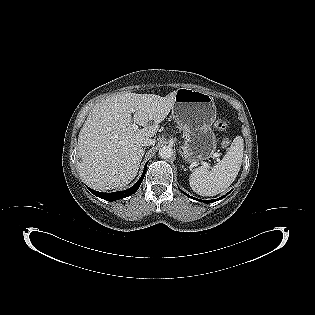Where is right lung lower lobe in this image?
<instances>
[{
	"label": "right lung lower lobe",
	"instance_id": "98d812e1",
	"mask_svg": "<svg viewBox=\"0 0 315 315\" xmlns=\"http://www.w3.org/2000/svg\"><path fill=\"white\" fill-rule=\"evenodd\" d=\"M146 166L147 164L145 165L144 167V172L142 174V176L140 177V179L129 189L127 190H124V191H119V192H113V193H102V192H98V191H95L91 188H88L94 195L106 200V201H115V200H118V199H122V198H125V197H128L130 195H132L133 193H135L140 184L142 183V180L145 176V173H146Z\"/></svg>",
	"mask_w": 315,
	"mask_h": 315
}]
</instances>
